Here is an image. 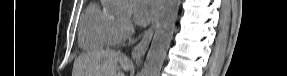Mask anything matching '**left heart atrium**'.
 <instances>
[{"label":"left heart atrium","mask_w":287,"mask_h":76,"mask_svg":"<svg viewBox=\"0 0 287 76\" xmlns=\"http://www.w3.org/2000/svg\"><path fill=\"white\" fill-rule=\"evenodd\" d=\"M132 11L135 21L145 25L150 22L157 13V2L155 0H132Z\"/></svg>","instance_id":"left-heart-atrium-1"}]
</instances>
